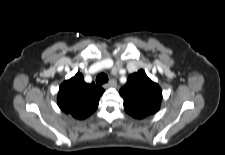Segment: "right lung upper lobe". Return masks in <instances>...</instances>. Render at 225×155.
<instances>
[{"label": "right lung upper lobe", "mask_w": 225, "mask_h": 155, "mask_svg": "<svg viewBox=\"0 0 225 155\" xmlns=\"http://www.w3.org/2000/svg\"><path fill=\"white\" fill-rule=\"evenodd\" d=\"M103 93V88L94 83H85L83 75L78 72L61 84L57 104L64 113L73 118L85 119L97 109Z\"/></svg>", "instance_id": "obj_1"}]
</instances>
